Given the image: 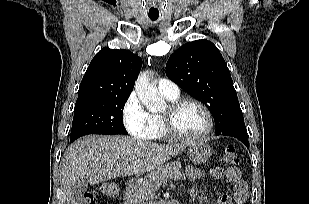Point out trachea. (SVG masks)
<instances>
[{
    "mask_svg": "<svg viewBox=\"0 0 309 204\" xmlns=\"http://www.w3.org/2000/svg\"><path fill=\"white\" fill-rule=\"evenodd\" d=\"M151 20H157V17H150Z\"/></svg>",
    "mask_w": 309,
    "mask_h": 204,
    "instance_id": "trachea-1",
    "label": "trachea"
}]
</instances>
